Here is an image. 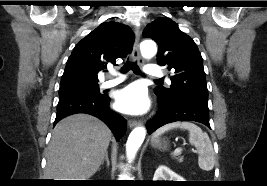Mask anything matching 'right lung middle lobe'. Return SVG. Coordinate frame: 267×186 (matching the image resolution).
<instances>
[{
	"label": "right lung middle lobe",
	"mask_w": 267,
	"mask_h": 186,
	"mask_svg": "<svg viewBox=\"0 0 267 186\" xmlns=\"http://www.w3.org/2000/svg\"><path fill=\"white\" fill-rule=\"evenodd\" d=\"M74 92L87 93L95 96L102 95L100 93L98 84L75 83V84L60 85L59 96Z\"/></svg>",
	"instance_id": "right-lung-middle-lobe-1"
}]
</instances>
